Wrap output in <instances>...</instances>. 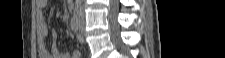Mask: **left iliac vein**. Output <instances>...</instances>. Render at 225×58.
<instances>
[{"instance_id":"obj_1","label":"left iliac vein","mask_w":225,"mask_h":58,"mask_svg":"<svg viewBox=\"0 0 225 58\" xmlns=\"http://www.w3.org/2000/svg\"><path fill=\"white\" fill-rule=\"evenodd\" d=\"M80 34H81V36H83V27H82V24H80Z\"/></svg>"}]
</instances>
